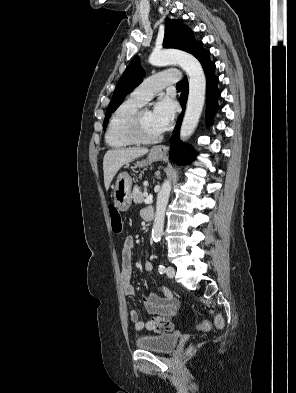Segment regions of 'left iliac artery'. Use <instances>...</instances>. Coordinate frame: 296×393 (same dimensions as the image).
Segmentation results:
<instances>
[{"instance_id":"44dca946","label":"left iliac artery","mask_w":296,"mask_h":393,"mask_svg":"<svg viewBox=\"0 0 296 393\" xmlns=\"http://www.w3.org/2000/svg\"><path fill=\"white\" fill-rule=\"evenodd\" d=\"M158 271L160 274H164L166 272V268L163 264H160L158 267Z\"/></svg>"}]
</instances>
